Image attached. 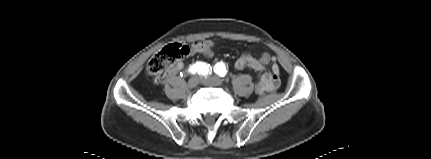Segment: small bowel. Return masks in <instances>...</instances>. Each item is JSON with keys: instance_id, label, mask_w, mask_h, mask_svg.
Instances as JSON below:
<instances>
[{"instance_id": "small-bowel-1", "label": "small bowel", "mask_w": 431, "mask_h": 159, "mask_svg": "<svg viewBox=\"0 0 431 159\" xmlns=\"http://www.w3.org/2000/svg\"><path fill=\"white\" fill-rule=\"evenodd\" d=\"M196 46H206L214 49L215 43L212 40H205L202 42L194 43L190 47L194 48ZM191 55H195L192 53ZM210 57L213 56L209 54ZM271 64L269 70L266 71V66ZM184 64L182 62H177L172 66L170 72L176 73L182 70ZM245 68L253 69L258 72V82L260 88L258 94H264L266 92H271L276 90L280 85V68L274 63V58L267 53L261 55L260 58H254L249 52L242 53L239 58L234 63L235 70H243Z\"/></svg>"}]
</instances>
